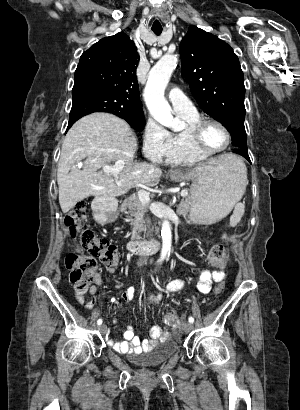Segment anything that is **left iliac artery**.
Returning a JSON list of instances; mask_svg holds the SVG:
<instances>
[{"label":"left iliac artery","mask_w":300,"mask_h":410,"mask_svg":"<svg viewBox=\"0 0 300 410\" xmlns=\"http://www.w3.org/2000/svg\"><path fill=\"white\" fill-rule=\"evenodd\" d=\"M188 320H189L190 323L194 322V318L192 316H190Z\"/></svg>","instance_id":"left-iliac-artery-1"}]
</instances>
